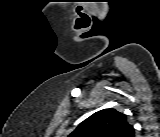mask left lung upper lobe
I'll list each match as a JSON object with an SVG mask.
<instances>
[{
    "mask_svg": "<svg viewBox=\"0 0 160 137\" xmlns=\"http://www.w3.org/2000/svg\"><path fill=\"white\" fill-rule=\"evenodd\" d=\"M134 133L125 114L103 109L80 123L69 137H134Z\"/></svg>",
    "mask_w": 160,
    "mask_h": 137,
    "instance_id": "1",
    "label": "left lung upper lobe"
}]
</instances>
